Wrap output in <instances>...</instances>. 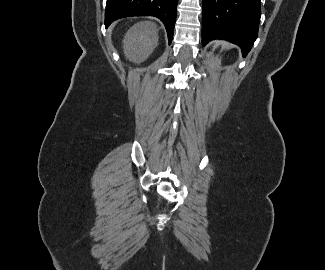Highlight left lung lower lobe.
I'll return each mask as SVG.
<instances>
[{
    "mask_svg": "<svg viewBox=\"0 0 325 270\" xmlns=\"http://www.w3.org/2000/svg\"><path fill=\"white\" fill-rule=\"evenodd\" d=\"M202 43L223 39L241 47L245 57L257 38L260 0H202Z\"/></svg>",
    "mask_w": 325,
    "mask_h": 270,
    "instance_id": "left-lung-lower-lobe-1",
    "label": "left lung lower lobe"
}]
</instances>
